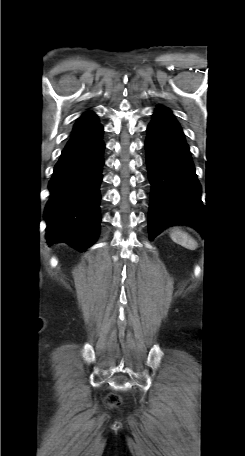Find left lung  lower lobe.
<instances>
[{
  "label": "left lung lower lobe",
  "mask_w": 245,
  "mask_h": 456,
  "mask_svg": "<svg viewBox=\"0 0 245 456\" xmlns=\"http://www.w3.org/2000/svg\"><path fill=\"white\" fill-rule=\"evenodd\" d=\"M153 116L145 141L151 240L175 224L198 228L203 210L201 185L180 125L165 107L157 108Z\"/></svg>",
  "instance_id": "obj_1"
}]
</instances>
